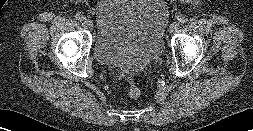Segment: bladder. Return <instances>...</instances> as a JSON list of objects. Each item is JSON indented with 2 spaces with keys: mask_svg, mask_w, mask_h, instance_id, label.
Listing matches in <instances>:
<instances>
[{
  "mask_svg": "<svg viewBox=\"0 0 253 131\" xmlns=\"http://www.w3.org/2000/svg\"><path fill=\"white\" fill-rule=\"evenodd\" d=\"M167 17L163 0H102L94 12L97 60L137 70L157 59Z\"/></svg>",
  "mask_w": 253,
  "mask_h": 131,
  "instance_id": "1",
  "label": "bladder"
}]
</instances>
